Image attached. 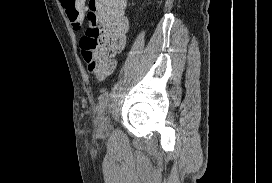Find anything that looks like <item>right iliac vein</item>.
Instances as JSON below:
<instances>
[{
	"label": "right iliac vein",
	"mask_w": 272,
	"mask_h": 183,
	"mask_svg": "<svg viewBox=\"0 0 272 183\" xmlns=\"http://www.w3.org/2000/svg\"><path fill=\"white\" fill-rule=\"evenodd\" d=\"M97 125H98V131L101 134H104L108 130V121L107 118L105 117V113H98L97 115Z\"/></svg>",
	"instance_id": "right-iliac-vein-1"
}]
</instances>
